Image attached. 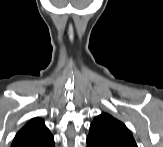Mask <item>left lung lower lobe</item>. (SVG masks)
<instances>
[{
	"instance_id": "0a47b994",
	"label": "left lung lower lobe",
	"mask_w": 163,
	"mask_h": 147,
	"mask_svg": "<svg viewBox=\"0 0 163 147\" xmlns=\"http://www.w3.org/2000/svg\"><path fill=\"white\" fill-rule=\"evenodd\" d=\"M87 147H137V145L127 140L104 138L89 133Z\"/></svg>"
}]
</instances>
